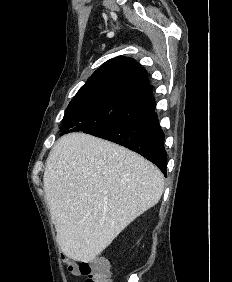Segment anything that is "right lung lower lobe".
Segmentation results:
<instances>
[{
  "mask_svg": "<svg viewBox=\"0 0 232 282\" xmlns=\"http://www.w3.org/2000/svg\"><path fill=\"white\" fill-rule=\"evenodd\" d=\"M88 134L127 147L153 162L166 176L167 153L164 148V133L157 114L114 126L100 128Z\"/></svg>",
  "mask_w": 232,
  "mask_h": 282,
  "instance_id": "98d812e1",
  "label": "right lung lower lobe"
}]
</instances>
